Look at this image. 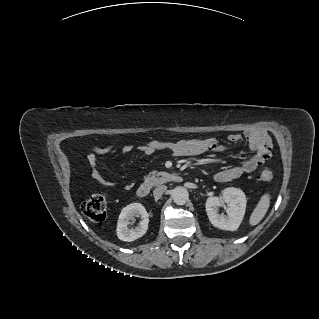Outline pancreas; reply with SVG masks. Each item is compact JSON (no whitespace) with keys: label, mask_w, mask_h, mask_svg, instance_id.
Here are the masks:
<instances>
[{"label":"pancreas","mask_w":319,"mask_h":319,"mask_svg":"<svg viewBox=\"0 0 319 319\" xmlns=\"http://www.w3.org/2000/svg\"><path fill=\"white\" fill-rule=\"evenodd\" d=\"M164 175H165L164 172H157L156 170H153L148 175V179L150 182H152L154 184H162V182H163L162 176H164Z\"/></svg>","instance_id":"1"}]
</instances>
